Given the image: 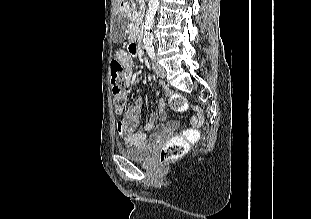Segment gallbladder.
I'll return each instance as SVG.
<instances>
[{"label":"gallbladder","instance_id":"obj_1","mask_svg":"<svg viewBox=\"0 0 311 219\" xmlns=\"http://www.w3.org/2000/svg\"><path fill=\"white\" fill-rule=\"evenodd\" d=\"M127 23L123 16H118L111 28V37L114 43H121L125 38Z\"/></svg>","mask_w":311,"mask_h":219}]
</instances>
